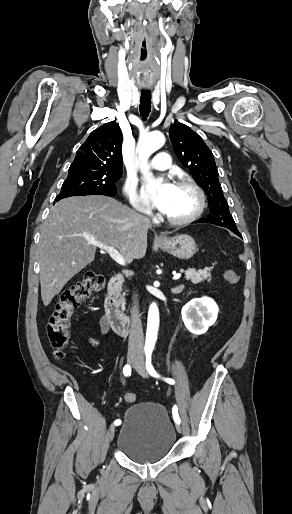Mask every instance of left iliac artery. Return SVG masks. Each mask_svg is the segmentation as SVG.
<instances>
[{
	"mask_svg": "<svg viewBox=\"0 0 292 514\" xmlns=\"http://www.w3.org/2000/svg\"><path fill=\"white\" fill-rule=\"evenodd\" d=\"M146 369L151 376L156 377V378H161V376L155 371V369L151 363V353H147V355H146ZM163 380L169 384H175V380H173L171 378H163ZM172 415H173V419H174L175 423L180 424L181 421H180V417L178 414V408L176 405H174L172 408Z\"/></svg>",
	"mask_w": 292,
	"mask_h": 514,
	"instance_id": "44dca946",
	"label": "left iliac artery"
}]
</instances>
